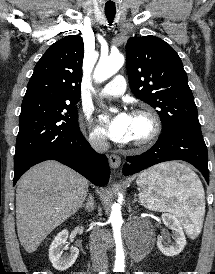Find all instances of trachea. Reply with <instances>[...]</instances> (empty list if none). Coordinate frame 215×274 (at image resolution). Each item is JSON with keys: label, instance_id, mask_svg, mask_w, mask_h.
Here are the masks:
<instances>
[{"label": "trachea", "instance_id": "1", "mask_svg": "<svg viewBox=\"0 0 215 274\" xmlns=\"http://www.w3.org/2000/svg\"><path fill=\"white\" fill-rule=\"evenodd\" d=\"M106 17H107V20L109 22V25L112 24L113 20H114V17H115V13H105Z\"/></svg>", "mask_w": 215, "mask_h": 274}]
</instances>
